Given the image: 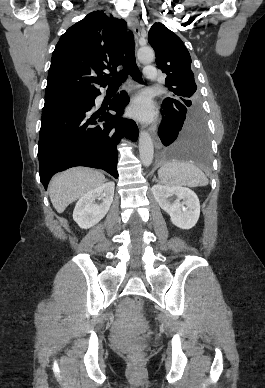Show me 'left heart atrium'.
<instances>
[{
  "label": "left heart atrium",
  "mask_w": 265,
  "mask_h": 388,
  "mask_svg": "<svg viewBox=\"0 0 265 388\" xmlns=\"http://www.w3.org/2000/svg\"><path fill=\"white\" fill-rule=\"evenodd\" d=\"M130 110L136 116L150 117L153 114V105L150 97L146 94L139 95Z\"/></svg>",
  "instance_id": "1"
}]
</instances>
